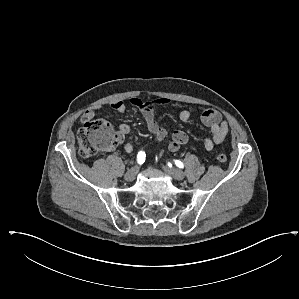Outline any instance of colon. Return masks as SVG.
<instances>
[{
	"label": "colon",
	"instance_id": "colon-1",
	"mask_svg": "<svg viewBox=\"0 0 299 299\" xmlns=\"http://www.w3.org/2000/svg\"><path fill=\"white\" fill-rule=\"evenodd\" d=\"M77 140L80 156L90 158L112 149L117 142V134L109 121L97 118L84 123L78 131ZM216 159L222 164L227 162V157L223 153H218Z\"/></svg>",
	"mask_w": 299,
	"mask_h": 299
}]
</instances>
